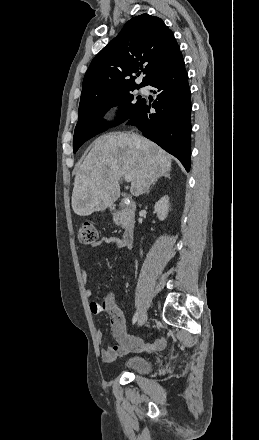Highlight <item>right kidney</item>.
Returning a JSON list of instances; mask_svg holds the SVG:
<instances>
[{
	"instance_id": "1",
	"label": "right kidney",
	"mask_w": 259,
	"mask_h": 440,
	"mask_svg": "<svg viewBox=\"0 0 259 440\" xmlns=\"http://www.w3.org/2000/svg\"><path fill=\"white\" fill-rule=\"evenodd\" d=\"M154 210L160 221H164L169 212V197L164 196L155 203Z\"/></svg>"
}]
</instances>
